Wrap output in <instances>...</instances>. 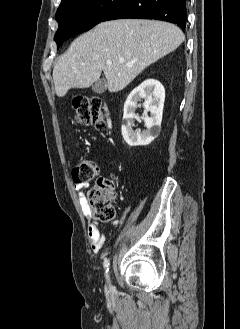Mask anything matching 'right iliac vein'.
<instances>
[{"label": "right iliac vein", "mask_w": 240, "mask_h": 329, "mask_svg": "<svg viewBox=\"0 0 240 329\" xmlns=\"http://www.w3.org/2000/svg\"><path fill=\"white\" fill-rule=\"evenodd\" d=\"M106 279H107V281H108V283H109V288L112 289V285H111V280H110V275H109V273L106 274Z\"/></svg>", "instance_id": "obj_1"}]
</instances>
